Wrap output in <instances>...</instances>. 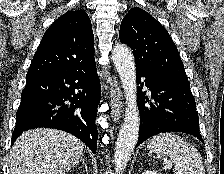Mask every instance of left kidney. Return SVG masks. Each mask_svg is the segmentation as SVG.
<instances>
[{"label":"left kidney","mask_w":224,"mask_h":174,"mask_svg":"<svg viewBox=\"0 0 224 174\" xmlns=\"http://www.w3.org/2000/svg\"><path fill=\"white\" fill-rule=\"evenodd\" d=\"M142 174H160V173H157L156 171L153 170H146Z\"/></svg>","instance_id":"1"}]
</instances>
